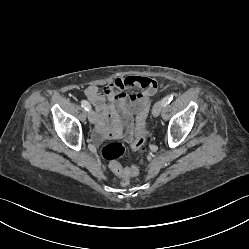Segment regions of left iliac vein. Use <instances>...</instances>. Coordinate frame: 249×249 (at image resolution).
I'll use <instances>...</instances> for the list:
<instances>
[{
    "instance_id": "4c4485c4",
    "label": "left iliac vein",
    "mask_w": 249,
    "mask_h": 249,
    "mask_svg": "<svg viewBox=\"0 0 249 249\" xmlns=\"http://www.w3.org/2000/svg\"><path fill=\"white\" fill-rule=\"evenodd\" d=\"M163 107H164V106H163L162 101L157 102V103L154 105L153 110H152L153 116H154V117H158L159 114L161 113V110H162Z\"/></svg>"
}]
</instances>
